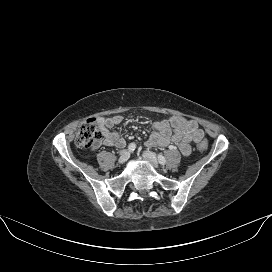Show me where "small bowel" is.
I'll return each instance as SVG.
<instances>
[{"label":"small bowel","mask_w":272,"mask_h":272,"mask_svg":"<svg viewBox=\"0 0 272 272\" xmlns=\"http://www.w3.org/2000/svg\"><path fill=\"white\" fill-rule=\"evenodd\" d=\"M122 121L121 115L100 117L98 125L103 138L96 141L92 145V149H96L102 144L123 148L126 145V140L111 130ZM203 137L204 133L195 121L173 115L153 124V132L146 145L148 147H165L169 144H175L184 156H189L191 154V142L198 143Z\"/></svg>","instance_id":"1"}]
</instances>
